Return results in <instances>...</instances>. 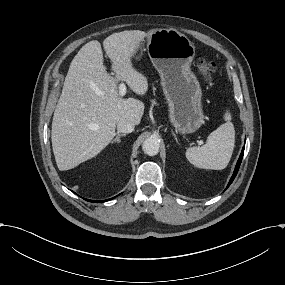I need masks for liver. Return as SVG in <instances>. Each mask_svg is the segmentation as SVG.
Listing matches in <instances>:
<instances>
[{"label":"liver","instance_id":"obj_1","mask_svg":"<svg viewBox=\"0 0 285 285\" xmlns=\"http://www.w3.org/2000/svg\"><path fill=\"white\" fill-rule=\"evenodd\" d=\"M147 36L144 31L126 30L103 41L115 77L103 65L97 40L86 43L73 58L52 121V147L59 170L72 169L100 153L115 136L119 121L140 123L144 103L123 99L117 84L125 81L138 95L147 92V78L131 62Z\"/></svg>","mask_w":285,"mask_h":285}]
</instances>
